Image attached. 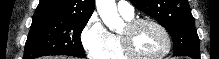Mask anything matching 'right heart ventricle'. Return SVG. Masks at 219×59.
<instances>
[{"label": "right heart ventricle", "instance_id": "1", "mask_svg": "<svg viewBox=\"0 0 219 59\" xmlns=\"http://www.w3.org/2000/svg\"><path fill=\"white\" fill-rule=\"evenodd\" d=\"M127 21L131 18L124 17ZM106 59H128L122 51L120 39L118 35H113L111 48L106 56Z\"/></svg>", "mask_w": 219, "mask_h": 59}]
</instances>
